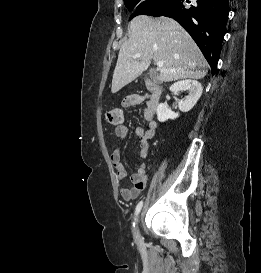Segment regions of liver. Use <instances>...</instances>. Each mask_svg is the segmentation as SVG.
<instances>
[{
    "label": "liver",
    "instance_id": "6515ba94",
    "mask_svg": "<svg viewBox=\"0 0 261 273\" xmlns=\"http://www.w3.org/2000/svg\"><path fill=\"white\" fill-rule=\"evenodd\" d=\"M129 39L119 51L111 92L116 93L148 69L151 60L162 61L161 82L202 79L207 62L191 36L173 19L139 15L129 24ZM137 53L140 58L134 59Z\"/></svg>",
    "mask_w": 261,
    "mask_h": 273
}]
</instances>
